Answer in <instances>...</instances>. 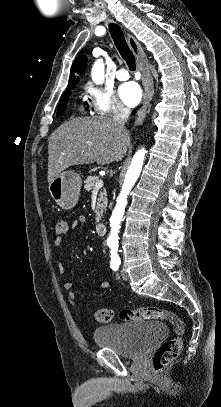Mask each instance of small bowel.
Here are the masks:
<instances>
[{
  "label": "small bowel",
  "instance_id": "c3829d8e",
  "mask_svg": "<svg viewBox=\"0 0 221 407\" xmlns=\"http://www.w3.org/2000/svg\"><path fill=\"white\" fill-rule=\"evenodd\" d=\"M85 224H86L85 217L79 216L78 219L74 221V223L72 225V229H79V228L83 227ZM62 242H63L62 237H57L54 241L55 247L60 248L62 245ZM58 270H59L60 274H63L65 272V268L62 263H58ZM108 286H109V281H107V280L102 281L100 284L101 288H107ZM62 287L64 290L68 291L69 299L76 300L77 296L73 291H71L72 283L70 281H64L62 283ZM80 304L82 305L83 302H80Z\"/></svg>",
  "mask_w": 221,
  "mask_h": 407
}]
</instances>
